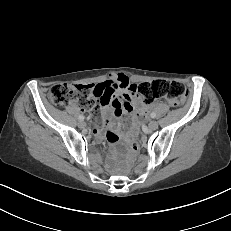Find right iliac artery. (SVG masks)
<instances>
[{"instance_id":"obj_1","label":"right iliac artery","mask_w":231,"mask_h":231,"mask_svg":"<svg viewBox=\"0 0 231 231\" xmlns=\"http://www.w3.org/2000/svg\"><path fill=\"white\" fill-rule=\"evenodd\" d=\"M84 118H85V117L82 116V115H80V116L78 117V119L81 120V121L84 120Z\"/></svg>"}]
</instances>
